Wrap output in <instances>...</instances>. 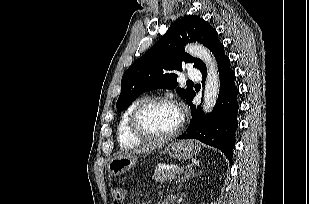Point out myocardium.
Returning a JSON list of instances; mask_svg holds the SVG:
<instances>
[{
    "label": "myocardium",
    "mask_w": 309,
    "mask_h": 204,
    "mask_svg": "<svg viewBox=\"0 0 309 204\" xmlns=\"http://www.w3.org/2000/svg\"><path fill=\"white\" fill-rule=\"evenodd\" d=\"M155 105H168L172 106L180 112V120L178 125L171 131L165 133V134H153L149 131H147L141 122V117L143 113L150 107L155 106ZM184 125V116L182 112L180 111L178 105L168 99V98H150V99H145L141 103H139L136 108L133 110L131 117H130V122H129V128L130 131L134 136L141 140H149V141H160V140H166L171 137H174L183 127Z\"/></svg>",
    "instance_id": "myocardium-1"
}]
</instances>
